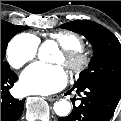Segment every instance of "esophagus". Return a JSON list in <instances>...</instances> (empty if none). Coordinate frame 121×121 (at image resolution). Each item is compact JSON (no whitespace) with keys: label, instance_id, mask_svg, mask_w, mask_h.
Segmentation results:
<instances>
[{"label":"esophagus","instance_id":"34e87169","mask_svg":"<svg viewBox=\"0 0 121 121\" xmlns=\"http://www.w3.org/2000/svg\"><path fill=\"white\" fill-rule=\"evenodd\" d=\"M58 98H59L58 95H52V96L46 97V99H47L48 101H55V100H57Z\"/></svg>","mask_w":121,"mask_h":121}]
</instances>
